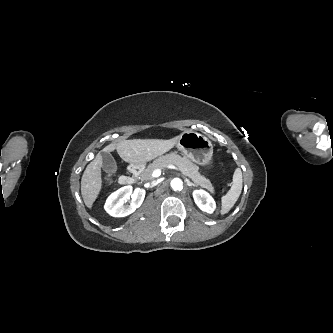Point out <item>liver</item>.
Instances as JSON below:
<instances>
[{
  "label": "liver",
  "instance_id": "6515ba94",
  "mask_svg": "<svg viewBox=\"0 0 333 333\" xmlns=\"http://www.w3.org/2000/svg\"><path fill=\"white\" fill-rule=\"evenodd\" d=\"M179 136L169 140L162 139H133L123 140L117 144L111 143L103 149V152L117 150L119 156L130 164L144 165L154 158L163 155L172 149ZM102 157L97 155L86 167L81 178V194L85 205L92 208L102 189Z\"/></svg>",
  "mask_w": 333,
  "mask_h": 333
}]
</instances>
